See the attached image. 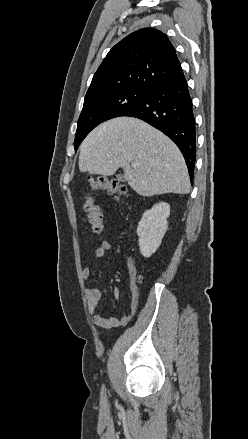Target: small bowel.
I'll use <instances>...</instances> for the list:
<instances>
[{"mask_svg":"<svg viewBox=\"0 0 248 439\" xmlns=\"http://www.w3.org/2000/svg\"><path fill=\"white\" fill-rule=\"evenodd\" d=\"M112 250V243L109 240H104L98 248L95 249L93 256L95 260H101L104 258L107 252ZM128 273H129V289L131 293V299L128 310L120 318L105 317L97 313L99 302L102 299L103 293L98 288H86L85 297L87 299L88 311L92 315V319L95 325L102 328H113L118 326L127 325L134 315L136 314L139 299L138 277L135 265L132 260H128ZM82 278L87 280L92 275V269L86 267L82 270ZM113 295L115 298L119 297V289L114 288Z\"/></svg>","mask_w":248,"mask_h":439,"instance_id":"1","label":"small bowel"}]
</instances>
